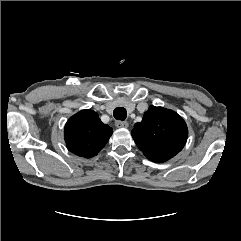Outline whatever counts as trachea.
Returning <instances> with one entry per match:
<instances>
[{"label": "trachea", "mask_w": 241, "mask_h": 241, "mask_svg": "<svg viewBox=\"0 0 241 241\" xmlns=\"http://www.w3.org/2000/svg\"><path fill=\"white\" fill-rule=\"evenodd\" d=\"M113 115L114 118L117 120H121L124 121L127 117V111L125 108L123 107H117L114 111H113Z\"/></svg>", "instance_id": "3493384b"}]
</instances>
